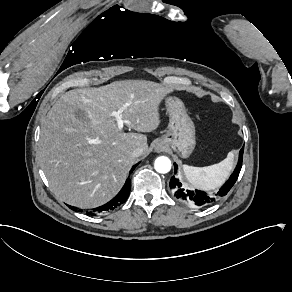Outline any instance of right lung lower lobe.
Masks as SVG:
<instances>
[{"label": "right lung lower lobe", "mask_w": 292, "mask_h": 292, "mask_svg": "<svg viewBox=\"0 0 292 292\" xmlns=\"http://www.w3.org/2000/svg\"><path fill=\"white\" fill-rule=\"evenodd\" d=\"M136 166L137 164L132 167L130 173L134 170ZM130 188H131V180L128 178L123 188L121 189V191L111 201H109L108 203L100 207L94 208L91 211H86V214L93 216L95 215L96 212H102V211L106 212V211L114 210L115 208H117L118 206H120L122 203H124L127 200L130 193ZM69 208H71L74 211H77L78 209L74 206H69ZM79 211L82 212V210H79Z\"/></svg>", "instance_id": "obj_1"}]
</instances>
